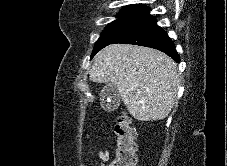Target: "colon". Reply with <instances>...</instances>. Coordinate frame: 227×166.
Instances as JSON below:
<instances>
[{
	"instance_id": "obj_1",
	"label": "colon",
	"mask_w": 227,
	"mask_h": 166,
	"mask_svg": "<svg viewBox=\"0 0 227 166\" xmlns=\"http://www.w3.org/2000/svg\"><path fill=\"white\" fill-rule=\"evenodd\" d=\"M116 150L109 166H135V129L127 115L118 118L114 126Z\"/></svg>"
}]
</instances>
